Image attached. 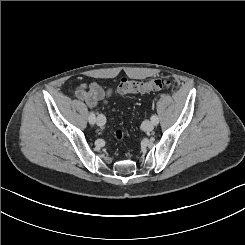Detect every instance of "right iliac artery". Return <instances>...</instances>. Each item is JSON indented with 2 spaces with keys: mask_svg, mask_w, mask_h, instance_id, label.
I'll return each mask as SVG.
<instances>
[{
  "mask_svg": "<svg viewBox=\"0 0 245 245\" xmlns=\"http://www.w3.org/2000/svg\"><path fill=\"white\" fill-rule=\"evenodd\" d=\"M89 122L91 124H94L96 122V117H95L94 112H90V114H89Z\"/></svg>",
  "mask_w": 245,
  "mask_h": 245,
  "instance_id": "1",
  "label": "right iliac artery"
}]
</instances>
